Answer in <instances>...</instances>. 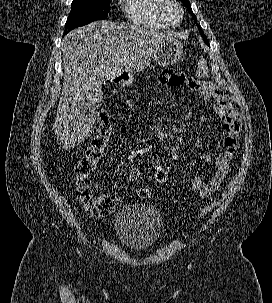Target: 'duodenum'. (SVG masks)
<instances>
[{
	"mask_svg": "<svg viewBox=\"0 0 272 303\" xmlns=\"http://www.w3.org/2000/svg\"><path fill=\"white\" fill-rule=\"evenodd\" d=\"M129 81V76L126 74H121L115 79L117 85L123 86Z\"/></svg>",
	"mask_w": 272,
	"mask_h": 303,
	"instance_id": "obj_1",
	"label": "duodenum"
}]
</instances>
